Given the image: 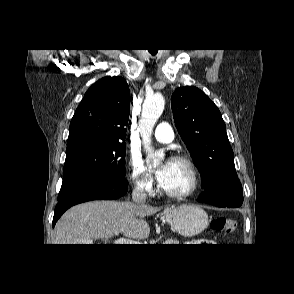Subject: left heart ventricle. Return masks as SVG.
<instances>
[{
  "instance_id": "left-heart-ventricle-1",
  "label": "left heart ventricle",
  "mask_w": 294,
  "mask_h": 294,
  "mask_svg": "<svg viewBox=\"0 0 294 294\" xmlns=\"http://www.w3.org/2000/svg\"><path fill=\"white\" fill-rule=\"evenodd\" d=\"M191 176L187 167L172 161L170 170L161 186L170 192H182L189 188Z\"/></svg>"
}]
</instances>
